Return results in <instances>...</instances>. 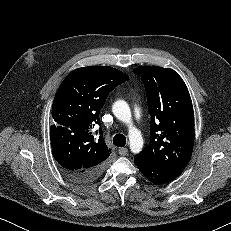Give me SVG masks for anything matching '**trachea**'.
I'll return each mask as SVG.
<instances>
[{
	"label": "trachea",
	"instance_id": "3493384b",
	"mask_svg": "<svg viewBox=\"0 0 231 231\" xmlns=\"http://www.w3.org/2000/svg\"><path fill=\"white\" fill-rule=\"evenodd\" d=\"M113 144L117 147H124L126 144V137L123 134H116L113 137Z\"/></svg>",
	"mask_w": 231,
	"mask_h": 231
}]
</instances>
